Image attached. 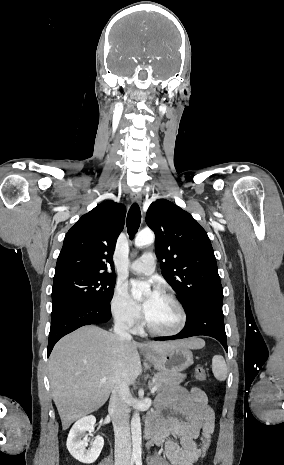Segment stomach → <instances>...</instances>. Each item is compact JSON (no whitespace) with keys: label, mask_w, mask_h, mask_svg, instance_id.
Masks as SVG:
<instances>
[{"label":"stomach","mask_w":284,"mask_h":465,"mask_svg":"<svg viewBox=\"0 0 284 465\" xmlns=\"http://www.w3.org/2000/svg\"><path fill=\"white\" fill-rule=\"evenodd\" d=\"M146 359L161 373L184 371L193 365V355L184 343H175L172 349L165 353H146Z\"/></svg>","instance_id":"stomach-1"}]
</instances>
